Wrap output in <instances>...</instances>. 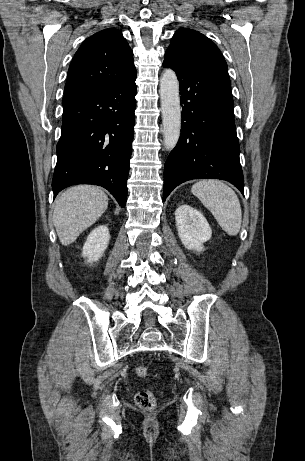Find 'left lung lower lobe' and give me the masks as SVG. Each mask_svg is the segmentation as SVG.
<instances>
[{"label":"left lung lower lobe","instance_id":"left-lung-lower-lobe-1","mask_svg":"<svg viewBox=\"0 0 305 461\" xmlns=\"http://www.w3.org/2000/svg\"><path fill=\"white\" fill-rule=\"evenodd\" d=\"M180 83L181 134L164 167L163 200L179 184L200 178L232 182L244 195L239 143L227 68L190 69L164 60Z\"/></svg>","mask_w":305,"mask_h":461}]
</instances>
